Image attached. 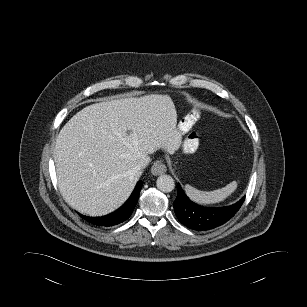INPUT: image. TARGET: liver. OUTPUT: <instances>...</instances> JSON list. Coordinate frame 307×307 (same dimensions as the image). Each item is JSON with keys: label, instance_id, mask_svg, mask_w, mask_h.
Here are the masks:
<instances>
[{"label": "liver", "instance_id": "obj_1", "mask_svg": "<svg viewBox=\"0 0 307 307\" xmlns=\"http://www.w3.org/2000/svg\"><path fill=\"white\" fill-rule=\"evenodd\" d=\"M182 143L168 95L96 103L61 129L53 152L59 190L69 206L90 216L119 208L141 171L136 165L158 149L174 154Z\"/></svg>", "mask_w": 307, "mask_h": 307}]
</instances>
